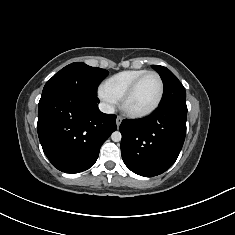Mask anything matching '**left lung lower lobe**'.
<instances>
[{
	"mask_svg": "<svg viewBox=\"0 0 235 235\" xmlns=\"http://www.w3.org/2000/svg\"><path fill=\"white\" fill-rule=\"evenodd\" d=\"M186 100L160 104L149 116L123 120L121 154L134 173L153 177L162 174L176 161L186 135Z\"/></svg>",
	"mask_w": 235,
	"mask_h": 235,
	"instance_id": "obj_1",
	"label": "left lung lower lobe"
}]
</instances>
